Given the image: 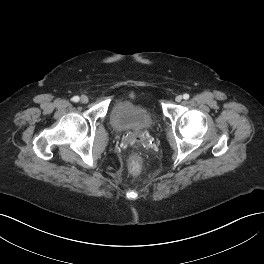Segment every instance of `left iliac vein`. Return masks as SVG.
Wrapping results in <instances>:
<instances>
[{
    "mask_svg": "<svg viewBox=\"0 0 264 264\" xmlns=\"http://www.w3.org/2000/svg\"><path fill=\"white\" fill-rule=\"evenodd\" d=\"M182 99H183V97L181 95H178V96H176L175 101L176 102H181Z\"/></svg>",
    "mask_w": 264,
    "mask_h": 264,
    "instance_id": "1",
    "label": "left iliac vein"
}]
</instances>
